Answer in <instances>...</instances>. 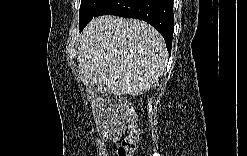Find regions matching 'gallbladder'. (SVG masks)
<instances>
[{
	"label": "gallbladder",
	"instance_id": "gallbladder-1",
	"mask_svg": "<svg viewBox=\"0 0 247 156\" xmlns=\"http://www.w3.org/2000/svg\"><path fill=\"white\" fill-rule=\"evenodd\" d=\"M92 90L95 92V93H100V89H99V86L98 85H94L93 87H92ZM105 93H110V92H106L105 91Z\"/></svg>",
	"mask_w": 247,
	"mask_h": 156
}]
</instances>
